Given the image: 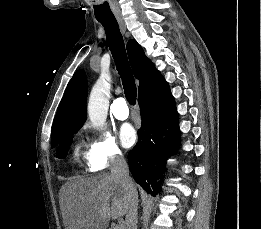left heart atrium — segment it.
Instances as JSON below:
<instances>
[{"instance_id":"1","label":"left heart atrium","mask_w":261,"mask_h":229,"mask_svg":"<svg viewBox=\"0 0 261 229\" xmlns=\"http://www.w3.org/2000/svg\"><path fill=\"white\" fill-rule=\"evenodd\" d=\"M119 137L124 147H131L137 140V133L131 124H123L120 127Z\"/></svg>"}]
</instances>
